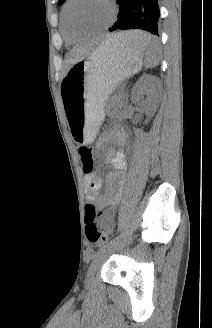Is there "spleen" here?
Masks as SVG:
<instances>
[{"instance_id": "spleen-1", "label": "spleen", "mask_w": 212, "mask_h": 328, "mask_svg": "<svg viewBox=\"0 0 212 328\" xmlns=\"http://www.w3.org/2000/svg\"><path fill=\"white\" fill-rule=\"evenodd\" d=\"M118 39L117 44L122 47L142 50L145 52V66L147 68L155 67L159 60L158 43L153 46H148L147 42L151 36L144 31H129L114 34Z\"/></svg>"}]
</instances>
